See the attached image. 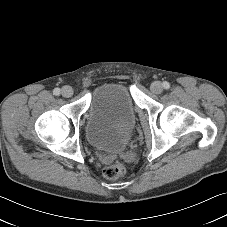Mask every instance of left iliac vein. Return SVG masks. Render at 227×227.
<instances>
[{"mask_svg": "<svg viewBox=\"0 0 227 227\" xmlns=\"http://www.w3.org/2000/svg\"><path fill=\"white\" fill-rule=\"evenodd\" d=\"M150 89L155 94H160L163 91L162 84L159 81H155L151 84Z\"/></svg>", "mask_w": 227, "mask_h": 227, "instance_id": "obj_1", "label": "left iliac vein"}]
</instances>
